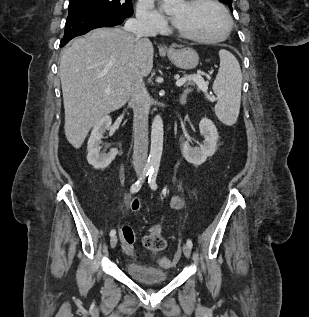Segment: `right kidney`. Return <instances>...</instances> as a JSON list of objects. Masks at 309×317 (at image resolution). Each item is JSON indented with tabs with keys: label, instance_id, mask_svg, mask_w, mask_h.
I'll use <instances>...</instances> for the list:
<instances>
[{
	"label": "right kidney",
	"instance_id": "right-kidney-1",
	"mask_svg": "<svg viewBox=\"0 0 309 317\" xmlns=\"http://www.w3.org/2000/svg\"><path fill=\"white\" fill-rule=\"evenodd\" d=\"M112 120L109 116L100 119L93 127L90 138L87 144V161L95 169H105L115 159L118 150L113 148L109 153H100V144L103 134L111 126Z\"/></svg>",
	"mask_w": 309,
	"mask_h": 317
}]
</instances>
